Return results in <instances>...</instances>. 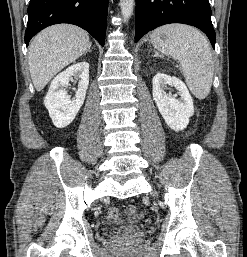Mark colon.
<instances>
[{
  "label": "colon",
  "instance_id": "obj_1",
  "mask_svg": "<svg viewBox=\"0 0 247 257\" xmlns=\"http://www.w3.org/2000/svg\"><path fill=\"white\" fill-rule=\"evenodd\" d=\"M126 213L128 214V216H135L137 214V208L135 205L130 204L126 207ZM108 216L110 219L118 221L120 220L121 216L119 211L116 208H112L109 210L108 212Z\"/></svg>",
  "mask_w": 247,
  "mask_h": 257
}]
</instances>
